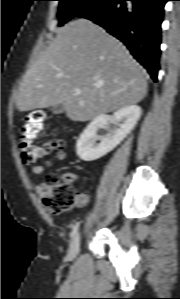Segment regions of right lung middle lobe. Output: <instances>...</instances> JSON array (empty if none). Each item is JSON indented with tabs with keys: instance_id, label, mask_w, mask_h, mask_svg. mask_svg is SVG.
<instances>
[{
	"instance_id": "obj_1",
	"label": "right lung middle lobe",
	"mask_w": 180,
	"mask_h": 299,
	"mask_svg": "<svg viewBox=\"0 0 180 299\" xmlns=\"http://www.w3.org/2000/svg\"><path fill=\"white\" fill-rule=\"evenodd\" d=\"M59 3V26L73 17H78L103 0H58Z\"/></svg>"
}]
</instances>
